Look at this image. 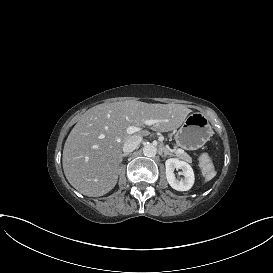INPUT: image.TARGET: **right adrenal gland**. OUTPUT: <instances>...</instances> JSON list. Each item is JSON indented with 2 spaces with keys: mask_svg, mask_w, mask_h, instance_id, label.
<instances>
[{
  "mask_svg": "<svg viewBox=\"0 0 273 273\" xmlns=\"http://www.w3.org/2000/svg\"><path fill=\"white\" fill-rule=\"evenodd\" d=\"M125 156H128V153H124V154L122 155V157H125Z\"/></svg>",
  "mask_w": 273,
  "mask_h": 273,
  "instance_id": "2a0ac1e0",
  "label": "right adrenal gland"
}]
</instances>
